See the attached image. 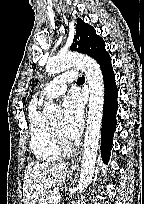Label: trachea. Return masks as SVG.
<instances>
[{"mask_svg":"<svg viewBox=\"0 0 144 204\" xmlns=\"http://www.w3.org/2000/svg\"><path fill=\"white\" fill-rule=\"evenodd\" d=\"M77 82H78V83L82 82V79H81V78H79V79L77 80Z\"/></svg>","mask_w":144,"mask_h":204,"instance_id":"trachea-1","label":"trachea"}]
</instances>
